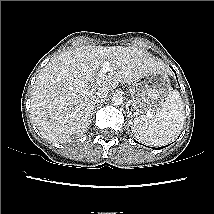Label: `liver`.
I'll list each match as a JSON object with an SVG mask.
<instances>
[{"label":"liver","mask_w":214,"mask_h":214,"mask_svg":"<svg viewBox=\"0 0 214 214\" xmlns=\"http://www.w3.org/2000/svg\"><path fill=\"white\" fill-rule=\"evenodd\" d=\"M104 61L112 71L98 72ZM162 61L137 47L82 46L53 58L40 72L33 86L31 115L40 134L56 143L81 136L91 122V93L115 89L119 83L135 82L164 69Z\"/></svg>","instance_id":"obj_1"}]
</instances>
